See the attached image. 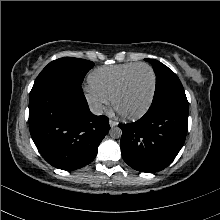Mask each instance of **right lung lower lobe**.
I'll list each match as a JSON object with an SVG mask.
<instances>
[{
    "label": "right lung lower lobe",
    "mask_w": 220,
    "mask_h": 220,
    "mask_svg": "<svg viewBox=\"0 0 220 220\" xmlns=\"http://www.w3.org/2000/svg\"><path fill=\"white\" fill-rule=\"evenodd\" d=\"M108 122L90 112L81 85L48 82L30 92L31 137L42 157L58 169L76 170L92 162Z\"/></svg>",
    "instance_id": "98d812e1"
}]
</instances>
